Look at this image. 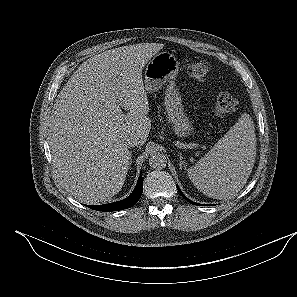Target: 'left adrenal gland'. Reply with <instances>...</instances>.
Here are the masks:
<instances>
[{"mask_svg":"<svg viewBox=\"0 0 297 297\" xmlns=\"http://www.w3.org/2000/svg\"><path fill=\"white\" fill-rule=\"evenodd\" d=\"M179 165H180V169H182L183 166H185V161H183L181 152H179Z\"/></svg>","mask_w":297,"mask_h":297,"instance_id":"a2214340","label":"left adrenal gland"}]
</instances>
